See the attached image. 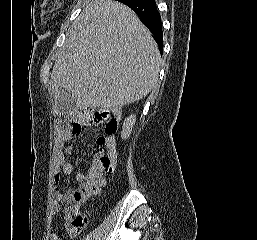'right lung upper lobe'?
I'll use <instances>...</instances> for the list:
<instances>
[{
    "label": "right lung upper lobe",
    "instance_id": "right-lung-upper-lobe-1",
    "mask_svg": "<svg viewBox=\"0 0 257 240\" xmlns=\"http://www.w3.org/2000/svg\"><path fill=\"white\" fill-rule=\"evenodd\" d=\"M117 1H119L121 3H125L127 0H117Z\"/></svg>",
    "mask_w": 257,
    "mask_h": 240
}]
</instances>
